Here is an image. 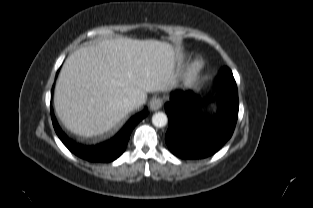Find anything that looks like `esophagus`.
Instances as JSON below:
<instances>
[{
  "instance_id": "34e87169",
  "label": "esophagus",
  "mask_w": 313,
  "mask_h": 208,
  "mask_svg": "<svg viewBox=\"0 0 313 208\" xmlns=\"http://www.w3.org/2000/svg\"><path fill=\"white\" fill-rule=\"evenodd\" d=\"M163 105V99L162 98H153L150 102V109L155 111L162 107Z\"/></svg>"
}]
</instances>
